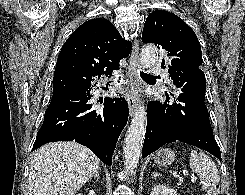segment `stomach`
I'll return each mask as SVG.
<instances>
[{
  "label": "stomach",
  "mask_w": 245,
  "mask_h": 195,
  "mask_svg": "<svg viewBox=\"0 0 245 195\" xmlns=\"http://www.w3.org/2000/svg\"><path fill=\"white\" fill-rule=\"evenodd\" d=\"M175 160V154L168 148H163L156 153L155 162L159 166L170 165Z\"/></svg>",
  "instance_id": "1"
}]
</instances>
